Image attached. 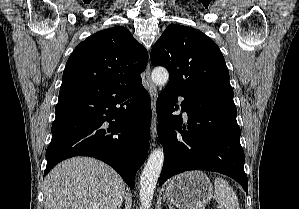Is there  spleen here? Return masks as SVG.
Instances as JSON below:
<instances>
[{"mask_svg":"<svg viewBox=\"0 0 299 209\" xmlns=\"http://www.w3.org/2000/svg\"><path fill=\"white\" fill-rule=\"evenodd\" d=\"M214 189V199L222 209H240L238 198L226 180L215 178Z\"/></svg>","mask_w":299,"mask_h":209,"instance_id":"obj_1","label":"spleen"}]
</instances>
